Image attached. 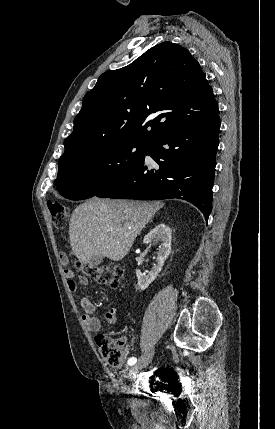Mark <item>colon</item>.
<instances>
[{
  "instance_id": "1",
  "label": "colon",
  "mask_w": 275,
  "mask_h": 429,
  "mask_svg": "<svg viewBox=\"0 0 275 429\" xmlns=\"http://www.w3.org/2000/svg\"><path fill=\"white\" fill-rule=\"evenodd\" d=\"M48 209L55 228L58 230L65 228L69 219L68 208L61 202L49 201ZM60 261L63 265L68 263L66 254H60ZM76 266L81 272V278L90 279L113 288L118 287L123 278L122 267L115 263L83 265L78 262ZM95 341L104 362L111 368H120L125 359L122 340L99 334L95 337Z\"/></svg>"
}]
</instances>
